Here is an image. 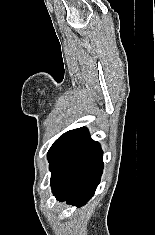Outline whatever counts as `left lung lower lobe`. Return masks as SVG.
Here are the masks:
<instances>
[{
	"instance_id": "obj_1",
	"label": "left lung lower lobe",
	"mask_w": 155,
	"mask_h": 235,
	"mask_svg": "<svg viewBox=\"0 0 155 235\" xmlns=\"http://www.w3.org/2000/svg\"><path fill=\"white\" fill-rule=\"evenodd\" d=\"M52 191L58 200L84 205L103 172V152L86 128L75 129L49 156Z\"/></svg>"
}]
</instances>
